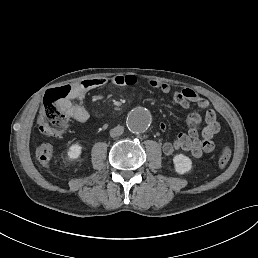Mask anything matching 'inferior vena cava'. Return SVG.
<instances>
[{
    "mask_svg": "<svg viewBox=\"0 0 258 258\" xmlns=\"http://www.w3.org/2000/svg\"><path fill=\"white\" fill-rule=\"evenodd\" d=\"M124 132V127L123 126H116L115 128L110 130V136L111 137H117L122 135Z\"/></svg>",
    "mask_w": 258,
    "mask_h": 258,
    "instance_id": "1",
    "label": "inferior vena cava"
}]
</instances>
